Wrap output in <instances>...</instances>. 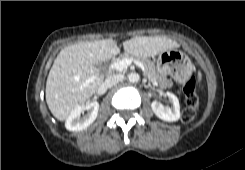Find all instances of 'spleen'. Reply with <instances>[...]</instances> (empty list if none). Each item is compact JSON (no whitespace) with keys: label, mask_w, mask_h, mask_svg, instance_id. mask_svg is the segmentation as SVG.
<instances>
[{"label":"spleen","mask_w":245,"mask_h":170,"mask_svg":"<svg viewBox=\"0 0 245 170\" xmlns=\"http://www.w3.org/2000/svg\"><path fill=\"white\" fill-rule=\"evenodd\" d=\"M198 79L201 80V73H198Z\"/></svg>","instance_id":"1"}]
</instances>
